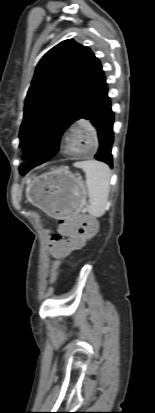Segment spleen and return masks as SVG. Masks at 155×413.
Listing matches in <instances>:
<instances>
[{
	"label": "spleen",
	"mask_w": 155,
	"mask_h": 413,
	"mask_svg": "<svg viewBox=\"0 0 155 413\" xmlns=\"http://www.w3.org/2000/svg\"><path fill=\"white\" fill-rule=\"evenodd\" d=\"M75 167L86 174L89 195L88 212L93 217H101L106 212L108 203L111 171L107 164L96 160L76 162Z\"/></svg>",
	"instance_id": "1"
}]
</instances>
